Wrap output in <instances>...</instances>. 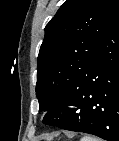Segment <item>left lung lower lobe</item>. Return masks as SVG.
Instances as JSON below:
<instances>
[{"mask_svg":"<svg viewBox=\"0 0 119 141\" xmlns=\"http://www.w3.org/2000/svg\"><path fill=\"white\" fill-rule=\"evenodd\" d=\"M43 123L119 141V14L94 58L47 111Z\"/></svg>","mask_w":119,"mask_h":141,"instance_id":"left-lung-lower-lobe-1","label":"left lung lower lobe"}]
</instances>
